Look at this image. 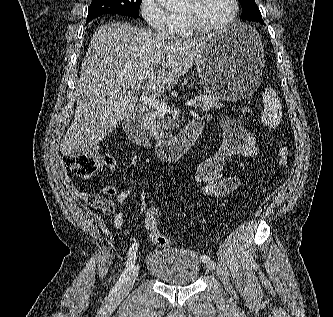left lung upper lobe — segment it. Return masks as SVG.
I'll use <instances>...</instances> for the list:
<instances>
[{
  "instance_id": "obj_1",
  "label": "left lung upper lobe",
  "mask_w": 333,
  "mask_h": 317,
  "mask_svg": "<svg viewBox=\"0 0 333 317\" xmlns=\"http://www.w3.org/2000/svg\"><path fill=\"white\" fill-rule=\"evenodd\" d=\"M242 6L241 19L252 20L262 23V15L255 0H239Z\"/></svg>"
}]
</instances>
